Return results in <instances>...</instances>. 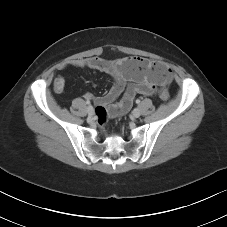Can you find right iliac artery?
<instances>
[{"label": "right iliac artery", "instance_id": "1", "mask_svg": "<svg viewBox=\"0 0 227 227\" xmlns=\"http://www.w3.org/2000/svg\"><path fill=\"white\" fill-rule=\"evenodd\" d=\"M86 104L89 105L88 107H92V106L90 105V101H89V100L86 101Z\"/></svg>", "mask_w": 227, "mask_h": 227}]
</instances>
